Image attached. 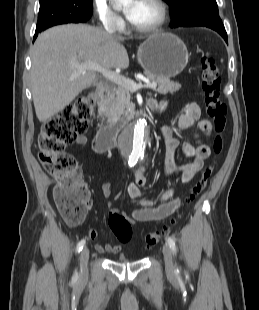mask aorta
Wrapping results in <instances>:
<instances>
[{"instance_id":"aorta-1","label":"aorta","mask_w":259,"mask_h":310,"mask_svg":"<svg viewBox=\"0 0 259 310\" xmlns=\"http://www.w3.org/2000/svg\"><path fill=\"white\" fill-rule=\"evenodd\" d=\"M119 6L128 4L131 0H115ZM147 144L146 122L139 119L131 125L122 135L121 146L127 155L141 156Z\"/></svg>"}]
</instances>
